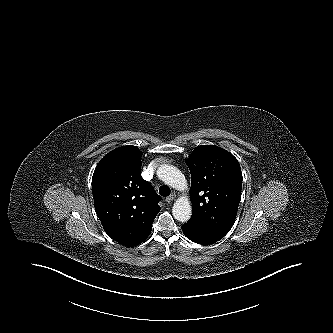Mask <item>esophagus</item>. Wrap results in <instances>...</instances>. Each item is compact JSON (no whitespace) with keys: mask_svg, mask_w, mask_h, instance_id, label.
<instances>
[{"mask_svg":"<svg viewBox=\"0 0 333 333\" xmlns=\"http://www.w3.org/2000/svg\"><path fill=\"white\" fill-rule=\"evenodd\" d=\"M175 198H176V194L173 193L166 198V202L171 203Z\"/></svg>","mask_w":333,"mask_h":333,"instance_id":"obj_1","label":"esophagus"}]
</instances>
